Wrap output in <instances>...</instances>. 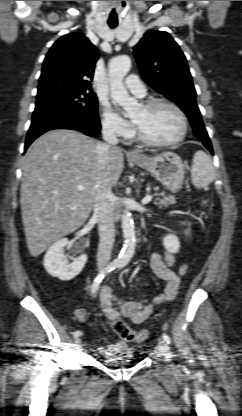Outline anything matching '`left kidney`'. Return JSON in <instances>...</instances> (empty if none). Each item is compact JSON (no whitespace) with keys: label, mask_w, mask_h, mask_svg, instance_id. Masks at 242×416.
Listing matches in <instances>:
<instances>
[{"label":"left kidney","mask_w":242,"mask_h":416,"mask_svg":"<svg viewBox=\"0 0 242 416\" xmlns=\"http://www.w3.org/2000/svg\"><path fill=\"white\" fill-rule=\"evenodd\" d=\"M163 245L170 253H177L180 248V242L176 235L168 234L163 238Z\"/></svg>","instance_id":"obj_1"}]
</instances>
